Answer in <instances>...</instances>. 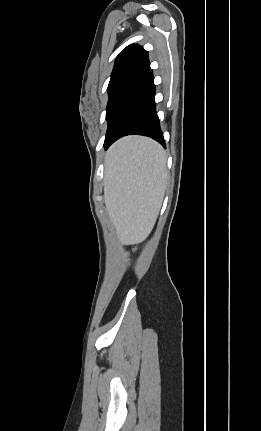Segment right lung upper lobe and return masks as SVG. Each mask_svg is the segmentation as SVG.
Segmentation results:
<instances>
[{
    "label": "right lung upper lobe",
    "instance_id": "cb5924a9",
    "mask_svg": "<svg viewBox=\"0 0 261 431\" xmlns=\"http://www.w3.org/2000/svg\"><path fill=\"white\" fill-rule=\"evenodd\" d=\"M149 65L147 51L139 45L131 44L117 56L110 80L131 72L141 73Z\"/></svg>",
    "mask_w": 261,
    "mask_h": 431
}]
</instances>
